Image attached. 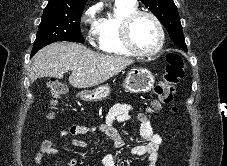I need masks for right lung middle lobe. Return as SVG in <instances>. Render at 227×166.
I'll return each mask as SVG.
<instances>
[{
	"label": "right lung middle lobe",
	"mask_w": 227,
	"mask_h": 166,
	"mask_svg": "<svg viewBox=\"0 0 227 166\" xmlns=\"http://www.w3.org/2000/svg\"><path fill=\"white\" fill-rule=\"evenodd\" d=\"M82 12L83 9L67 11L44 10L32 55L42 47L56 41L84 43V38L80 32Z\"/></svg>",
	"instance_id": "right-lung-middle-lobe-1"
}]
</instances>
